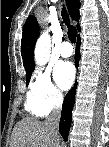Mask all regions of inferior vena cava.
<instances>
[{"mask_svg":"<svg viewBox=\"0 0 109 147\" xmlns=\"http://www.w3.org/2000/svg\"><path fill=\"white\" fill-rule=\"evenodd\" d=\"M62 96L58 98V103L53 108L50 116L46 118L45 124L49 127L51 131L52 140L54 147H60L59 143V121L61 117L62 109Z\"/></svg>","mask_w":109,"mask_h":147,"instance_id":"602c4592","label":"inferior vena cava"}]
</instances>
